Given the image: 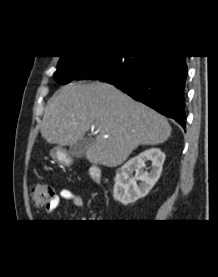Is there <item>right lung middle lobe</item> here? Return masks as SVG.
I'll return each instance as SVG.
<instances>
[{"label": "right lung middle lobe", "mask_w": 218, "mask_h": 277, "mask_svg": "<svg viewBox=\"0 0 218 277\" xmlns=\"http://www.w3.org/2000/svg\"><path fill=\"white\" fill-rule=\"evenodd\" d=\"M148 58L140 56H61L54 78L61 84L84 79L85 76H101L108 82H124Z\"/></svg>", "instance_id": "right-lung-middle-lobe-1"}]
</instances>
